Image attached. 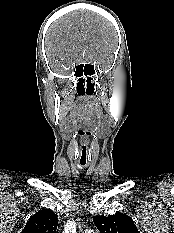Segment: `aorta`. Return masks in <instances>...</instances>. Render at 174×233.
Segmentation results:
<instances>
[{
    "label": "aorta",
    "instance_id": "obj_1",
    "mask_svg": "<svg viewBox=\"0 0 174 233\" xmlns=\"http://www.w3.org/2000/svg\"><path fill=\"white\" fill-rule=\"evenodd\" d=\"M63 233H77L76 232V224L74 221H68L64 225Z\"/></svg>",
    "mask_w": 174,
    "mask_h": 233
}]
</instances>
